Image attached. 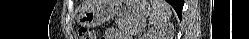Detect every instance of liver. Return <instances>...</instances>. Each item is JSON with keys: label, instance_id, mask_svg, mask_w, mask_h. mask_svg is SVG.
<instances>
[{"label": "liver", "instance_id": "1", "mask_svg": "<svg viewBox=\"0 0 249 39\" xmlns=\"http://www.w3.org/2000/svg\"><path fill=\"white\" fill-rule=\"evenodd\" d=\"M102 1H112V0H102ZM95 3H98V0H88L86 3H85V6H84V9H87L89 7H91L92 5H94Z\"/></svg>", "mask_w": 249, "mask_h": 39}]
</instances>
